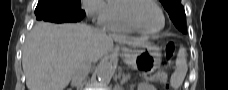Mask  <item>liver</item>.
Masks as SVG:
<instances>
[{
  "instance_id": "liver-1",
  "label": "liver",
  "mask_w": 228,
  "mask_h": 90,
  "mask_svg": "<svg viewBox=\"0 0 228 90\" xmlns=\"http://www.w3.org/2000/svg\"><path fill=\"white\" fill-rule=\"evenodd\" d=\"M147 37L96 33L83 23H37L27 36L22 55V66L28 90H64L75 67L85 57L97 62L120 42L141 47Z\"/></svg>"
}]
</instances>
